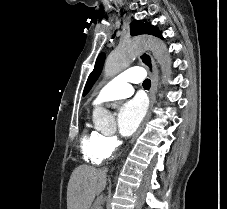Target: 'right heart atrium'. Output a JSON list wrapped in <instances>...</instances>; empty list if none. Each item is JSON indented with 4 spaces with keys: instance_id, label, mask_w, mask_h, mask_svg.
Here are the masks:
<instances>
[{
    "instance_id": "1",
    "label": "right heart atrium",
    "mask_w": 227,
    "mask_h": 209,
    "mask_svg": "<svg viewBox=\"0 0 227 209\" xmlns=\"http://www.w3.org/2000/svg\"><path fill=\"white\" fill-rule=\"evenodd\" d=\"M107 146L113 151L118 146V140L115 136H106Z\"/></svg>"
}]
</instances>
